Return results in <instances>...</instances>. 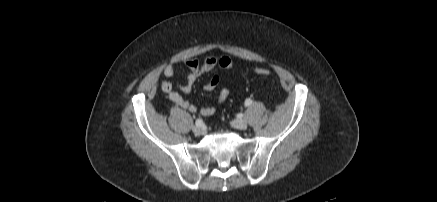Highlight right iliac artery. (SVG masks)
I'll list each match as a JSON object with an SVG mask.
<instances>
[{
	"label": "right iliac artery",
	"instance_id": "right-iliac-artery-1",
	"mask_svg": "<svg viewBox=\"0 0 437 202\" xmlns=\"http://www.w3.org/2000/svg\"><path fill=\"white\" fill-rule=\"evenodd\" d=\"M195 124H196V126L201 127V126H203V120L202 119H197Z\"/></svg>",
	"mask_w": 437,
	"mask_h": 202
}]
</instances>
